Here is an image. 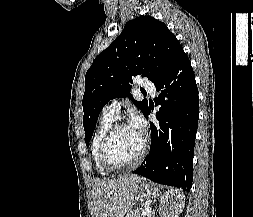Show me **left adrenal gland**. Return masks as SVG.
<instances>
[{"label": "left adrenal gland", "instance_id": "left-adrenal-gland-1", "mask_svg": "<svg viewBox=\"0 0 253 217\" xmlns=\"http://www.w3.org/2000/svg\"><path fill=\"white\" fill-rule=\"evenodd\" d=\"M150 215H152V217L155 216V210L154 209L151 210Z\"/></svg>", "mask_w": 253, "mask_h": 217}]
</instances>
